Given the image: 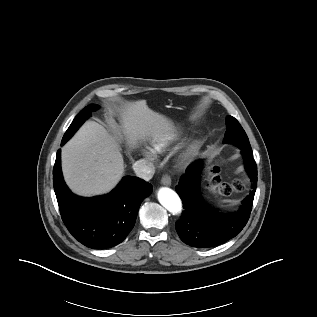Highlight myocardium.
Wrapping results in <instances>:
<instances>
[{
  "mask_svg": "<svg viewBox=\"0 0 317 317\" xmlns=\"http://www.w3.org/2000/svg\"><path fill=\"white\" fill-rule=\"evenodd\" d=\"M196 154V146L192 143H189L183 147L179 154V162L185 164L189 162L194 155Z\"/></svg>",
  "mask_w": 317,
  "mask_h": 317,
  "instance_id": "obj_1",
  "label": "myocardium"
}]
</instances>
